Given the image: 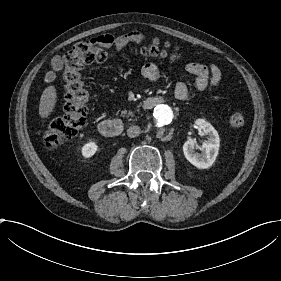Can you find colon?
I'll list each match as a JSON object with an SVG mask.
<instances>
[{
    "mask_svg": "<svg viewBox=\"0 0 281 281\" xmlns=\"http://www.w3.org/2000/svg\"><path fill=\"white\" fill-rule=\"evenodd\" d=\"M156 42L147 53L154 59L169 58L185 61L188 54L181 46L169 42ZM123 47H107L104 38L79 44L76 49L64 56L63 80L66 86L64 104L42 136V145L49 151L55 150L61 143L78 137L87 126L88 91L83 69L92 63L105 61L119 54ZM246 118L242 112L234 111L229 116L231 126L240 128L245 125Z\"/></svg>",
    "mask_w": 281,
    "mask_h": 281,
    "instance_id": "obj_1",
    "label": "colon"
}]
</instances>
